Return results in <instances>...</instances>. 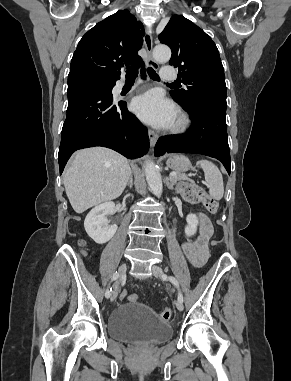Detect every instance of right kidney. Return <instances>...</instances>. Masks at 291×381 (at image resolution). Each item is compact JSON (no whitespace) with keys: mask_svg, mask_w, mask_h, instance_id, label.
Listing matches in <instances>:
<instances>
[{"mask_svg":"<svg viewBox=\"0 0 291 381\" xmlns=\"http://www.w3.org/2000/svg\"><path fill=\"white\" fill-rule=\"evenodd\" d=\"M114 202H105L94 207L86 216L84 227L89 235L96 243L104 244L108 242L116 233L118 226L116 224L109 225L107 215L115 210Z\"/></svg>","mask_w":291,"mask_h":381,"instance_id":"1","label":"right kidney"}]
</instances>
